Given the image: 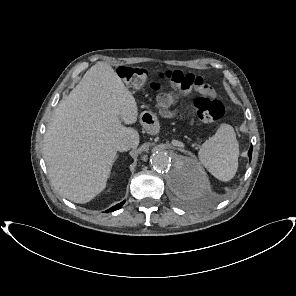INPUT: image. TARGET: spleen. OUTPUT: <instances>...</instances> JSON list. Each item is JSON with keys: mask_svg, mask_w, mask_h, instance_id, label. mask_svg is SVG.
Returning a JSON list of instances; mask_svg holds the SVG:
<instances>
[{"mask_svg": "<svg viewBox=\"0 0 296 296\" xmlns=\"http://www.w3.org/2000/svg\"><path fill=\"white\" fill-rule=\"evenodd\" d=\"M239 148L232 126L222 124L214 136L206 140L198 157L204 167L221 181L231 180L238 168ZM188 194H197L195 191Z\"/></svg>", "mask_w": 296, "mask_h": 296, "instance_id": "spleen-1", "label": "spleen"}]
</instances>
